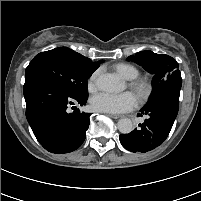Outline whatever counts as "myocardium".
<instances>
[{
  "mask_svg": "<svg viewBox=\"0 0 201 201\" xmlns=\"http://www.w3.org/2000/svg\"><path fill=\"white\" fill-rule=\"evenodd\" d=\"M129 87L135 93L140 102L147 101L152 93V85L146 79L131 80Z\"/></svg>",
  "mask_w": 201,
  "mask_h": 201,
  "instance_id": "f54148a6",
  "label": "myocardium"
}]
</instances>
